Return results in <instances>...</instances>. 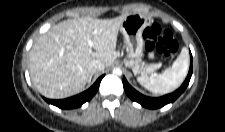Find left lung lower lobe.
I'll list each match as a JSON object with an SVG mask.
<instances>
[{
    "instance_id": "0a47b994",
    "label": "left lung lower lobe",
    "mask_w": 225,
    "mask_h": 132,
    "mask_svg": "<svg viewBox=\"0 0 225 132\" xmlns=\"http://www.w3.org/2000/svg\"><path fill=\"white\" fill-rule=\"evenodd\" d=\"M192 75V55H191V63H190V69L189 73L187 75V78L185 79L184 83L181 85L179 89H177L175 92L159 97V98H151L146 97L139 92H137L135 89H133L125 79L123 78V86L125 89L126 94L131 98L133 101L140 103L142 106L149 108V109H157L160 107H163L164 105L168 103H172L175 101L186 89V87L189 84L190 78Z\"/></svg>"
}]
</instances>
